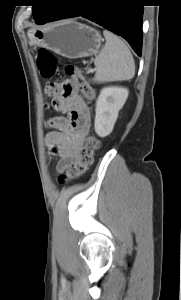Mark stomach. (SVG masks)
<instances>
[{
    "mask_svg": "<svg viewBox=\"0 0 181 300\" xmlns=\"http://www.w3.org/2000/svg\"><path fill=\"white\" fill-rule=\"evenodd\" d=\"M30 44L44 47L70 59L96 54L102 44V36L96 29L68 20L28 31Z\"/></svg>",
    "mask_w": 181,
    "mask_h": 300,
    "instance_id": "0dacf381",
    "label": "stomach"
}]
</instances>
